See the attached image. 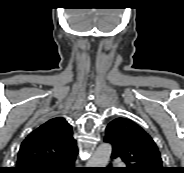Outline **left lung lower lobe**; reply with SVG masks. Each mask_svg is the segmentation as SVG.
<instances>
[{
  "mask_svg": "<svg viewBox=\"0 0 184 173\" xmlns=\"http://www.w3.org/2000/svg\"><path fill=\"white\" fill-rule=\"evenodd\" d=\"M112 158H116L114 156H111ZM113 172H117L114 168L112 167H108L107 169L103 170L102 173H113ZM120 172L122 173H128L125 170H120Z\"/></svg>",
  "mask_w": 184,
  "mask_h": 173,
  "instance_id": "left-lung-lower-lobe-1",
  "label": "left lung lower lobe"
}]
</instances>
